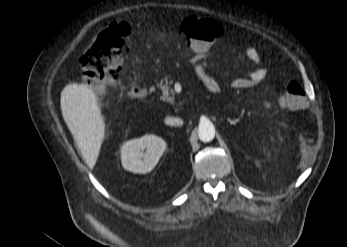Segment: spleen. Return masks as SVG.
Here are the masks:
<instances>
[{
	"instance_id": "1",
	"label": "spleen",
	"mask_w": 347,
	"mask_h": 247,
	"mask_svg": "<svg viewBox=\"0 0 347 247\" xmlns=\"http://www.w3.org/2000/svg\"><path fill=\"white\" fill-rule=\"evenodd\" d=\"M303 154L306 155V150L305 149H303Z\"/></svg>"
}]
</instances>
